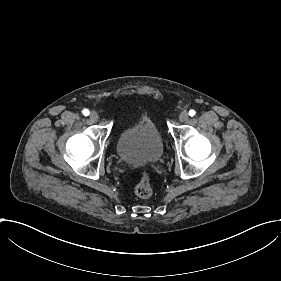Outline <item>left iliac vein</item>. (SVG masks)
I'll list each match as a JSON object with an SVG mask.
<instances>
[{
    "label": "left iliac vein",
    "instance_id": "1",
    "mask_svg": "<svg viewBox=\"0 0 281 281\" xmlns=\"http://www.w3.org/2000/svg\"><path fill=\"white\" fill-rule=\"evenodd\" d=\"M188 116H189V113H188V111H186V110H183V111H181V113H180V120L181 121H186L187 120V118H188Z\"/></svg>",
    "mask_w": 281,
    "mask_h": 281
}]
</instances>
